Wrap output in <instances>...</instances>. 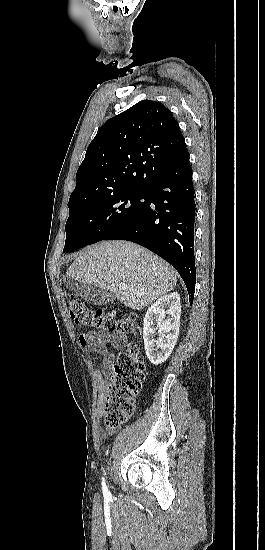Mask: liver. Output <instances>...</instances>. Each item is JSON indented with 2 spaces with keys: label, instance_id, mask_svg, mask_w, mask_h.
Masks as SVG:
<instances>
[{
  "label": "liver",
  "instance_id": "1",
  "mask_svg": "<svg viewBox=\"0 0 265 550\" xmlns=\"http://www.w3.org/2000/svg\"><path fill=\"white\" fill-rule=\"evenodd\" d=\"M81 284L113 292L125 306L140 310L172 291L177 273L151 251L129 241H102L81 250L67 270ZM125 284L126 289H119Z\"/></svg>",
  "mask_w": 265,
  "mask_h": 550
}]
</instances>
